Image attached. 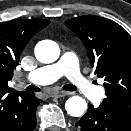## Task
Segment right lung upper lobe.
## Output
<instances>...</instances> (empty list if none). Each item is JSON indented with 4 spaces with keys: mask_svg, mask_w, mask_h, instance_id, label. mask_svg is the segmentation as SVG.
Returning a JSON list of instances; mask_svg holds the SVG:
<instances>
[{
    "mask_svg": "<svg viewBox=\"0 0 131 131\" xmlns=\"http://www.w3.org/2000/svg\"><path fill=\"white\" fill-rule=\"evenodd\" d=\"M50 23L49 20L16 19L0 22V93L12 90L8 81L19 64L29 40Z\"/></svg>",
    "mask_w": 131,
    "mask_h": 131,
    "instance_id": "1",
    "label": "right lung upper lobe"
}]
</instances>
